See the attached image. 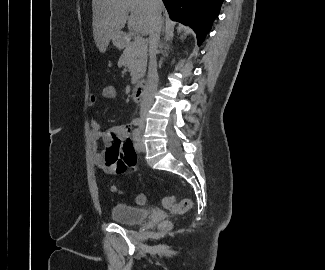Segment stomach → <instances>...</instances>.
<instances>
[{
	"mask_svg": "<svg viewBox=\"0 0 325 270\" xmlns=\"http://www.w3.org/2000/svg\"><path fill=\"white\" fill-rule=\"evenodd\" d=\"M113 44L117 48H124L125 47V39L123 34H118L113 38Z\"/></svg>",
	"mask_w": 325,
	"mask_h": 270,
	"instance_id": "0dacf381",
	"label": "stomach"
}]
</instances>
